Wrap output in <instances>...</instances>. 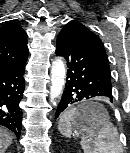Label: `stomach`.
<instances>
[{"label":"stomach","mask_w":130,"mask_h":153,"mask_svg":"<svg viewBox=\"0 0 130 153\" xmlns=\"http://www.w3.org/2000/svg\"><path fill=\"white\" fill-rule=\"evenodd\" d=\"M77 109L78 111L70 121V124L79 131H84L85 128H91L96 131L104 122L109 121L108 113L98 103L84 102Z\"/></svg>","instance_id":"stomach-1"}]
</instances>
